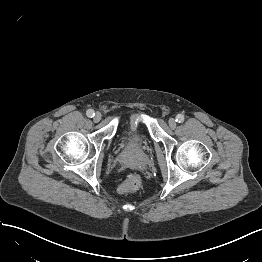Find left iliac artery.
<instances>
[{
  "label": "left iliac artery",
  "instance_id": "1",
  "mask_svg": "<svg viewBox=\"0 0 262 262\" xmlns=\"http://www.w3.org/2000/svg\"><path fill=\"white\" fill-rule=\"evenodd\" d=\"M184 119H185V118H184V115H182V114H178V115L176 116V121L179 122V123L183 122Z\"/></svg>",
  "mask_w": 262,
  "mask_h": 262
}]
</instances>
